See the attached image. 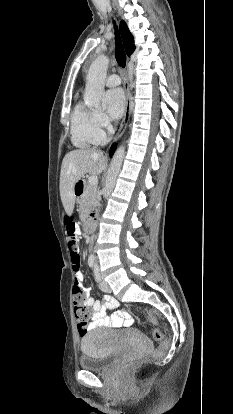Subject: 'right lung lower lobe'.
<instances>
[{"label": "right lung lower lobe", "mask_w": 233, "mask_h": 414, "mask_svg": "<svg viewBox=\"0 0 233 414\" xmlns=\"http://www.w3.org/2000/svg\"><path fill=\"white\" fill-rule=\"evenodd\" d=\"M115 149H116V146L113 144V146H112V147H111V149H110V156H112V155H113V153H114Z\"/></svg>", "instance_id": "right-lung-lower-lobe-1"}]
</instances>
